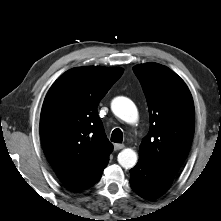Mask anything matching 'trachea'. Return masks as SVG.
I'll return each instance as SVG.
<instances>
[{
	"instance_id": "1",
	"label": "trachea",
	"mask_w": 221,
	"mask_h": 221,
	"mask_svg": "<svg viewBox=\"0 0 221 221\" xmlns=\"http://www.w3.org/2000/svg\"><path fill=\"white\" fill-rule=\"evenodd\" d=\"M111 141L114 143H122L123 141V133L119 128L113 130L111 134Z\"/></svg>"
}]
</instances>
